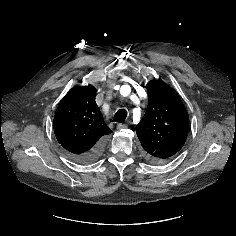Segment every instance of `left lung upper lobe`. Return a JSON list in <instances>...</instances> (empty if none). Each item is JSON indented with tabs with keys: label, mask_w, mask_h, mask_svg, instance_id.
Masks as SVG:
<instances>
[{
	"label": "left lung upper lobe",
	"mask_w": 236,
	"mask_h": 236,
	"mask_svg": "<svg viewBox=\"0 0 236 236\" xmlns=\"http://www.w3.org/2000/svg\"><path fill=\"white\" fill-rule=\"evenodd\" d=\"M148 107L136 126L145 158L154 164H165L183 147L189 117L178 93L162 80L148 83Z\"/></svg>",
	"instance_id": "5c2ea615"
}]
</instances>
